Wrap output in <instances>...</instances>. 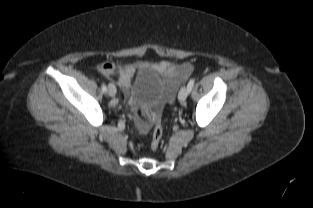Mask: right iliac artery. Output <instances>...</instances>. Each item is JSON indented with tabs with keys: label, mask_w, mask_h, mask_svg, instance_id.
I'll list each match as a JSON object with an SVG mask.
<instances>
[{
	"label": "right iliac artery",
	"mask_w": 313,
	"mask_h": 208,
	"mask_svg": "<svg viewBox=\"0 0 313 208\" xmlns=\"http://www.w3.org/2000/svg\"><path fill=\"white\" fill-rule=\"evenodd\" d=\"M102 91H103L104 93H106V92H107V87H106V85H105V84H103V85H102Z\"/></svg>",
	"instance_id": "obj_1"
}]
</instances>
